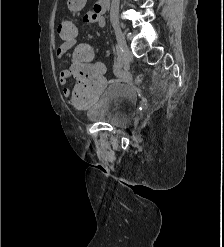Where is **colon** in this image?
Segmentation results:
<instances>
[{
    "label": "colon",
    "mask_w": 224,
    "mask_h": 247,
    "mask_svg": "<svg viewBox=\"0 0 224 247\" xmlns=\"http://www.w3.org/2000/svg\"><path fill=\"white\" fill-rule=\"evenodd\" d=\"M56 30L61 40L75 39L78 33L77 25L66 19L59 21ZM93 56V49L88 45H81L75 51L70 72L75 80L79 83H86V86H79L71 93L70 102L74 106H89L106 85L98 69L91 64ZM138 79L141 80L142 76Z\"/></svg>",
    "instance_id": "colon-1"
}]
</instances>
